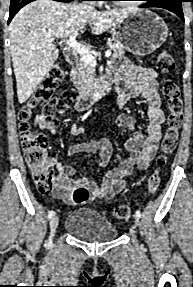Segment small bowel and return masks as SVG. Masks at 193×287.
<instances>
[{
  "mask_svg": "<svg viewBox=\"0 0 193 287\" xmlns=\"http://www.w3.org/2000/svg\"><path fill=\"white\" fill-rule=\"evenodd\" d=\"M111 74L115 77L119 89L118 105L122 109L125 104L134 98H143L148 103V124L146 134L135 130V120L129 115L121 113L117 119V124L124 128L133 130L132 135L125 143V149L130 156L125 159L119 167L104 170L101 184H97L89 178L73 179L76 173L74 167L64 164L57 157L50 158V164L57 170L53 195L55 198L74 204L71 193L75 188L85 187L90 192L92 199H110L119 193L125 186V178L130 175L135 168L146 169L153 159L162 135V125L165 115L161 107L157 73L149 67L133 66L124 59H115L111 63ZM35 123L44 124L49 131H54L55 125L50 118L39 116ZM71 134L81 135L84 128L74 123L71 126ZM99 151L97 166L104 169L113 152L112 144L109 140L98 142L76 143L69 147L68 156L85 152Z\"/></svg>",
  "mask_w": 193,
  "mask_h": 287,
  "instance_id": "obj_1",
  "label": "small bowel"
}]
</instances>
